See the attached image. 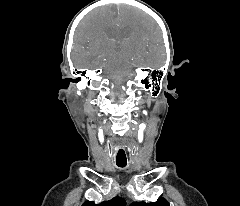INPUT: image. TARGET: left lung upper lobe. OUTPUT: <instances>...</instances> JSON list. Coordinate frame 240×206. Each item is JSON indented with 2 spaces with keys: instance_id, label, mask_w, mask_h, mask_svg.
Returning a JSON list of instances; mask_svg holds the SVG:
<instances>
[{
  "instance_id": "obj_1",
  "label": "left lung upper lobe",
  "mask_w": 240,
  "mask_h": 206,
  "mask_svg": "<svg viewBox=\"0 0 240 206\" xmlns=\"http://www.w3.org/2000/svg\"><path fill=\"white\" fill-rule=\"evenodd\" d=\"M130 206H169V203L164 198H158L156 202H133Z\"/></svg>"
}]
</instances>
